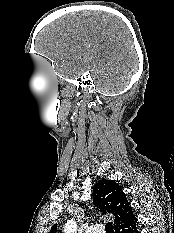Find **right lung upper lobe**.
Listing matches in <instances>:
<instances>
[{"mask_svg": "<svg viewBox=\"0 0 174 233\" xmlns=\"http://www.w3.org/2000/svg\"><path fill=\"white\" fill-rule=\"evenodd\" d=\"M93 203L103 214L114 216L115 233H123L137 223V218L121 187L113 180H100L93 187ZM57 224L50 233H56Z\"/></svg>", "mask_w": 174, "mask_h": 233, "instance_id": "1", "label": "right lung upper lobe"}]
</instances>
